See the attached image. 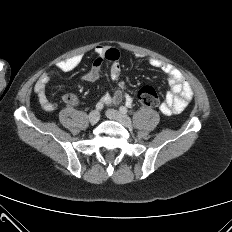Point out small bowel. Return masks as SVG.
Wrapping results in <instances>:
<instances>
[{
    "label": "small bowel",
    "mask_w": 232,
    "mask_h": 232,
    "mask_svg": "<svg viewBox=\"0 0 232 232\" xmlns=\"http://www.w3.org/2000/svg\"><path fill=\"white\" fill-rule=\"evenodd\" d=\"M96 57L92 63L91 68L85 72L81 79L86 82L95 83L100 79L104 62L111 63L109 75L112 80L117 81V88L112 93H105L101 101L106 105H115L122 101L130 106L133 102L132 97L124 93L125 84L119 80L121 75V67L119 64L120 55L114 48L105 46H97L95 49ZM81 55H74L65 60H61L56 64V69L62 72H70L76 69L82 62ZM148 64L150 67L163 72L170 84V91L165 95V99L160 105L161 113L165 115L176 114L182 112L193 97V91L190 84L184 80L182 74L171 64L158 59L149 58ZM54 72L43 73L35 84L34 91L37 95L41 107L46 111L55 109V104L46 94V85L51 80ZM64 103L68 106H76L78 99L75 94L69 93L62 97Z\"/></svg>",
    "instance_id": "small-bowel-1"
}]
</instances>
